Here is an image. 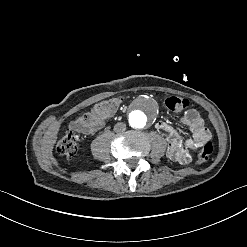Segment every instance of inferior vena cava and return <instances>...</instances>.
Masks as SVG:
<instances>
[{
    "label": "inferior vena cava",
    "instance_id": "602c4592",
    "mask_svg": "<svg viewBox=\"0 0 247 247\" xmlns=\"http://www.w3.org/2000/svg\"><path fill=\"white\" fill-rule=\"evenodd\" d=\"M125 130H126V124L125 123L119 122V123L115 124V126H114V131L116 133H121Z\"/></svg>",
    "mask_w": 247,
    "mask_h": 247
}]
</instances>
